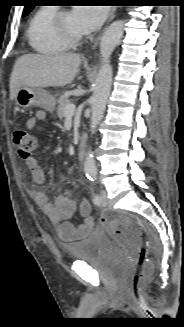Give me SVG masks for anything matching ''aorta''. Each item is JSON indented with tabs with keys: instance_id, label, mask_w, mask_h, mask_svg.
I'll return each mask as SVG.
<instances>
[{
	"instance_id": "aorta-1",
	"label": "aorta",
	"mask_w": 184,
	"mask_h": 327,
	"mask_svg": "<svg viewBox=\"0 0 184 327\" xmlns=\"http://www.w3.org/2000/svg\"><path fill=\"white\" fill-rule=\"evenodd\" d=\"M124 32V22L118 20L109 25L103 33L100 41L101 67L98 71L91 103V121L90 131L95 134L96 127L100 123L106 103L110 94L112 85V67L110 57L116 46L119 44ZM84 171L86 175L95 178L97 176V167L94 155L89 147L84 162Z\"/></svg>"
}]
</instances>
